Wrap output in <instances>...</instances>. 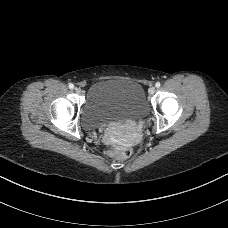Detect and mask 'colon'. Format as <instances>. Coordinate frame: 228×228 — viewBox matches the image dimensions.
Instances as JSON below:
<instances>
[{"label":"colon","instance_id":"colon-1","mask_svg":"<svg viewBox=\"0 0 228 228\" xmlns=\"http://www.w3.org/2000/svg\"><path fill=\"white\" fill-rule=\"evenodd\" d=\"M110 155L117 159H125L129 158L132 155V151L126 145L118 141H113L111 143Z\"/></svg>","mask_w":228,"mask_h":228}]
</instances>
